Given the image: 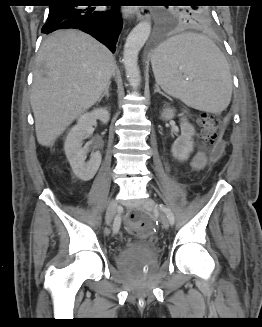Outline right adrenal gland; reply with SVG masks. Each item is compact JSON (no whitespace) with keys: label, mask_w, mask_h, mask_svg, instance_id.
<instances>
[{"label":"right adrenal gland","mask_w":262,"mask_h":327,"mask_svg":"<svg viewBox=\"0 0 262 327\" xmlns=\"http://www.w3.org/2000/svg\"><path fill=\"white\" fill-rule=\"evenodd\" d=\"M109 87H110V83L105 88V90H104L103 94L101 95V97L99 98L98 102H100L104 97L109 99Z\"/></svg>","instance_id":"1"}]
</instances>
